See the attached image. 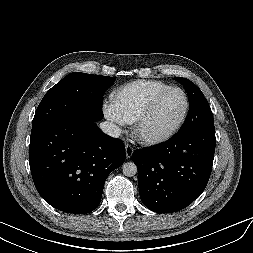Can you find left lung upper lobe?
<instances>
[{"instance_id":"5c2ea615","label":"left lung upper lobe","mask_w":253,"mask_h":253,"mask_svg":"<svg viewBox=\"0 0 253 253\" xmlns=\"http://www.w3.org/2000/svg\"><path fill=\"white\" fill-rule=\"evenodd\" d=\"M175 80L184 86L189 99V112L179 132L188 133L214 125L211 108L202 91L188 79L176 77Z\"/></svg>"}]
</instances>
